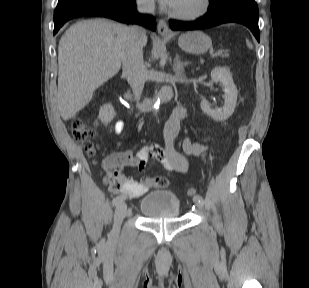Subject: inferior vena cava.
I'll list each match as a JSON object with an SVG mask.
<instances>
[{"label": "inferior vena cava", "mask_w": 309, "mask_h": 288, "mask_svg": "<svg viewBox=\"0 0 309 288\" xmlns=\"http://www.w3.org/2000/svg\"><path fill=\"white\" fill-rule=\"evenodd\" d=\"M137 9L141 13L154 14V0H137ZM145 31L132 27L128 31V44L123 50L122 67L133 93L140 99L145 84V66L143 62V41Z\"/></svg>", "instance_id": "602c4592"}]
</instances>
